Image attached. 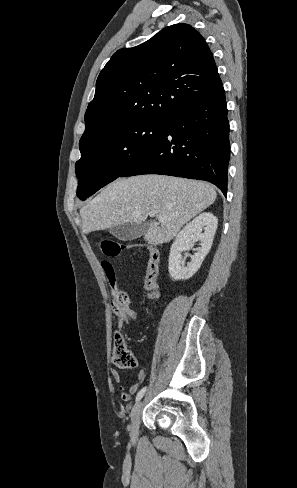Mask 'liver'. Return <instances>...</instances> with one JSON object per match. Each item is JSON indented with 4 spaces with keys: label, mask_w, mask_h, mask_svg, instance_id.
I'll list each match as a JSON object with an SVG mask.
<instances>
[{
    "label": "liver",
    "mask_w": 297,
    "mask_h": 488,
    "mask_svg": "<svg viewBox=\"0 0 297 488\" xmlns=\"http://www.w3.org/2000/svg\"><path fill=\"white\" fill-rule=\"evenodd\" d=\"M216 196L215 189L202 181L164 175L119 178L80 209L82 230L88 234L142 223L154 211L165 219L151 220L144 240L156 246L170 242L185 223L213 204Z\"/></svg>",
    "instance_id": "1"
}]
</instances>
